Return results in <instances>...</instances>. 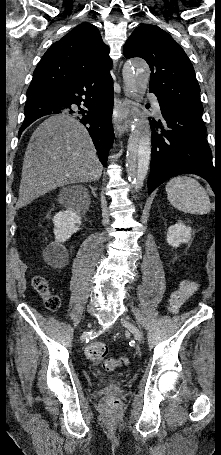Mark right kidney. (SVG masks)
I'll list each match as a JSON object with an SVG mask.
<instances>
[{"instance_id":"ca27d5eb","label":"right kidney","mask_w":221,"mask_h":455,"mask_svg":"<svg viewBox=\"0 0 221 455\" xmlns=\"http://www.w3.org/2000/svg\"><path fill=\"white\" fill-rule=\"evenodd\" d=\"M55 241L45 249V256L52 263H64L68 258L66 248L62 245L72 234L80 230L81 217L76 211L69 209L60 211L53 218Z\"/></svg>"}]
</instances>
